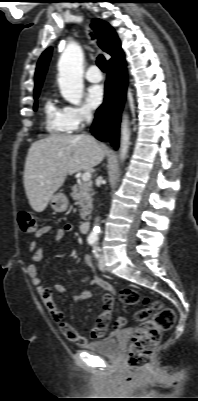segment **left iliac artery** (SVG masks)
<instances>
[{"instance_id": "1", "label": "left iliac artery", "mask_w": 198, "mask_h": 401, "mask_svg": "<svg viewBox=\"0 0 198 401\" xmlns=\"http://www.w3.org/2000/svg\"><path fill=\"white\" fill-rule=\"evenodd\" d=\"M93 252H94V255H95V257H98V254H97V248H96V247H94V250H93Z\"/></svg>"}]
</instances>
